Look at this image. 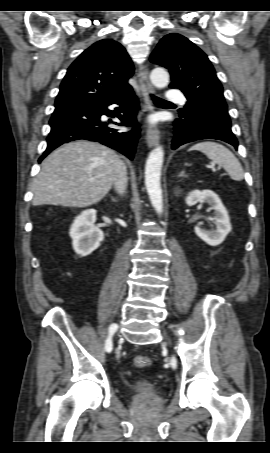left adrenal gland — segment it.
<instances>
[{"label":"left adrenal gland","mask_w":270,"mask_h":453,"mask_svg":"<svg viewBox=\"0 0 270 453\" xmlns=\"http://www.w3.org/2000/svg\"><path fill=\"white\" fill-rule=\"evenodd\" d=\"M179 177H187V175L185 174V171L182 170L179 174Z\"/></svg>","instance_id":"a2214340"}]
</instances>
